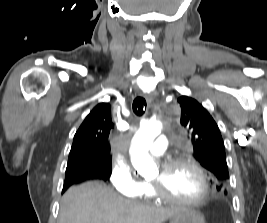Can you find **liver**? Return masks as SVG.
<instances>
[{"instance_id": "1", "label": "liver", "mask_w": 267, "mask_h": 223, "mask_svg": "<svg viewBox=\"0 0 267 223\" xmlns=\"http://www.w3.org/2000/svg\"><path fill=\"white\" fill-rule=\"evenodd\" d=\"M180 211L127 200L105 183L90 181L63 195L58 223H163Z\"/></svg>"}]
</instances>
